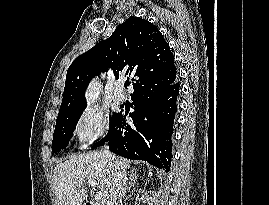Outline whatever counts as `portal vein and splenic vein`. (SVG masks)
<instances>
[{"label":"portal vein and splenic vein","instance_id":"obj_1","mask_svg":"<svg viewBox=\"0 0 269 205\" xmlns=\"http://www.w3.org/2000/svg\"><path fill=\"white\" fill-rule=\"evenodd\" d=\"M87 183H88L89 185H91L92 187H94V188L97 187V183H96V181L93 180V179H89V180L87 181ZM103 197H104V193H103V192H101V191H97V192H96V194H95V200H96V201H100V200H102Z\"/></svg>","mask_w":269,"mask_h":205}]
</instances>
